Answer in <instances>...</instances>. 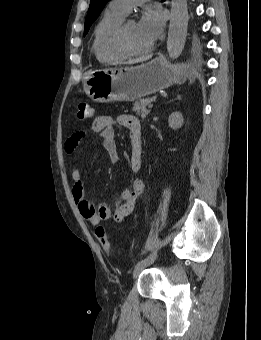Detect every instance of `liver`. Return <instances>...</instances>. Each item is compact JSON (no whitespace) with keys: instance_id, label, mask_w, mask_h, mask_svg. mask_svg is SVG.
Here are the masks:
<instances>
[{"instance_id":"liver-1","label":"liver","mask_w":261,"mask_h":340,"mask_svg":"<svg viewBox=\"0 0 261 340\" xmlns=\"http://www.w3.org/2000/svg\"><path fill=\"white\" fill-rule=\"evenodd\" d=\"M147 58H141V59H137V60H133V61H130L128 62L129 64H134V63H138V62H143L145 61Z\"/></svg>"}]
</instances>
